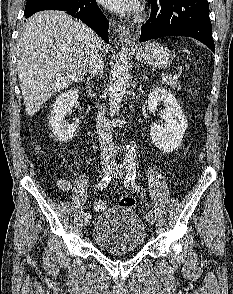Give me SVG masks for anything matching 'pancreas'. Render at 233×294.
<instances>
[{
  "label": "pancreas",
  "mask_w": 233,
  "mask_h": 294,
  "mask_svg": "<svg viewBox=\"0 0 233 294\" xmlns=\"http://www.w3.org/2000/svg\"><path fill=\"white\" fill-rule=\"evenodd\" d=\"M163 83L170 86L173 89H178V90L181 89V86H180L179 82H177V81H175L173 79H169L167 81H164Z\"/></svg>",
  "instance_id": "1"
}]
</instances>
